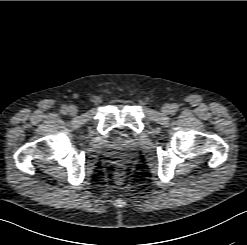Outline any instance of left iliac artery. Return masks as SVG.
<instances>
[{"label":"left iliac artery","instance_id":"1","mask_svg":"<svg viewBox=\"0 0 247 245\" xmlns=\"http://www.w3.org/2000/svg\"><path fill=\"white\" fill-rule=\"evenodd\" d=\"M177 110H178V105L177 104H174L172 106V112L175 113V112H177Z\"/></svg>","mask_w":247,"mask_h":245}]
</instances>
